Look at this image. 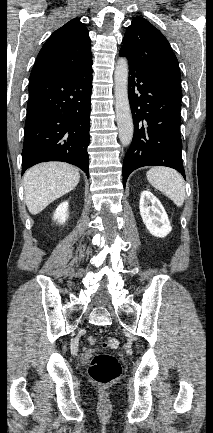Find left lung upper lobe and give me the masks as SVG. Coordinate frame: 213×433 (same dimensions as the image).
I'll return each instance as SVG.
<instances>
[{
    "instance_id": "5c2ea615",
    "label": "left lung upper lobe",
    "mask_w": 213,
    "mask_h": 433,
    "mask_svg": "<svg viewBox=\"0 0 213 433\" xmlns=\"http://www.w3.org/2000/svg\"><path fill=\"white\" fill-rule=\"evenodd\" d=\"M130 64L181 92L178 60L164 35L149 21L135 17L120 49Z\"/></svg>"
}]
</instances>
